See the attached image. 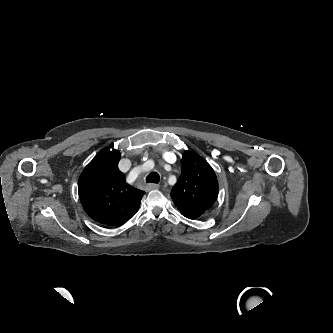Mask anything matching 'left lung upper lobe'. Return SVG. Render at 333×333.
Returning a JSON list of instances; mask_svg holds the SVG:
<instances>
[{"instance_id": "1", "label": "left lung upper lobe", "mask_w": 333, "mask_h": 333, "mask_svg": "<svg viewBox=\"0 0 333 333\" xmlns=\"http://www.w3.org/2000/svg\"><path fill=\"white\" fill-rule=\"evenodd\" d=\"M181 163L182 173L171 191V197L182 215L194 219L217 199L218 181L212 167L195 152L185 151Z\"/></svg>"}]
</instances>
